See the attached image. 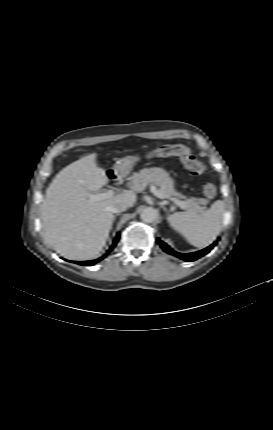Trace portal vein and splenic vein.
<instances>
[{"label": "portal vein and splenic vein", "mask_w": 273, "mask_h": 430, "mask_svg": "<svg viewBox=\"0 0 273 430\" xmlns=\"http://www.w3.org/2000/svg\"><path fill=\"white\" fill-rule=\"evenodd\" d=\"M150 191L160 199L169 198L168 196L164 195L160 190H158L157 187L154 185L150 186ZM113 196H114V191L108 190L107 192H104V193L90 194L89 195V201L95 202V201L106 200V199H109ZM169 199H171L175 204H177L181 208H183L185 206L184 203L180 200H177L174 198H169Z\"/></svg>", "instance_id": "18ae733b"}]
</instances>
